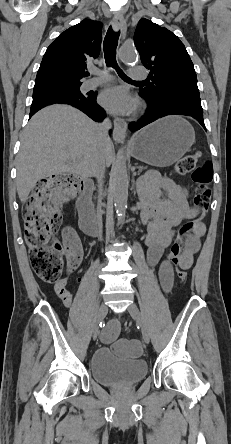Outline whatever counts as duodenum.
I'll return each instance as SVG.
<instances>
[{"label": "duodenum", "mask_w": 231, "mask_h": 444, "mask_svg": "<svg viewBox=\"0 0 231 444\" xmlns=\"http://www.w3.org/2000/svg\"><path fill=\"white\" fill-rule=\"evenodd\" d=\"M92 192L93 182L88 178H84L76 205L79 213L80 228L87 236L95 237L99 235V229L97 224L98 220L92 211Z\"/></svg>", "instance_id": "1"}]
</instances>
